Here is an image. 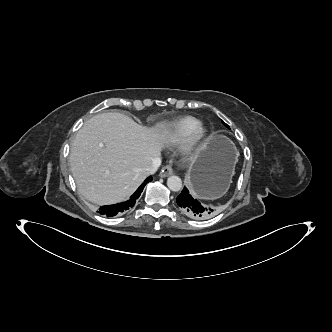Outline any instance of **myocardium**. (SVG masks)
Returning <instances> with one entry per match:
<instances>
[{"label": "myocardium", "instance_id": "myocardium-1", "mask_svg": "<svg viewBox=\"0 0 332 332\" xmlns=\"http://www.w3.org/2000/svg\"><path fill=\"white\" fill-rule=\"evenodd\" d=\"M209 130L205 124H198L183 140L182 151L185 155H194L207 141Z\"/></svg>", "mask_w": 332, "mask_h": 332}]
</instances>
